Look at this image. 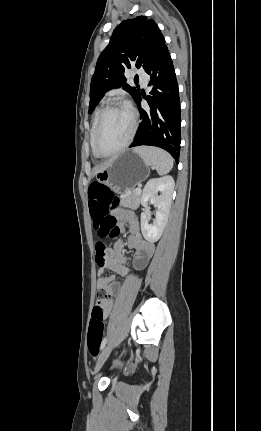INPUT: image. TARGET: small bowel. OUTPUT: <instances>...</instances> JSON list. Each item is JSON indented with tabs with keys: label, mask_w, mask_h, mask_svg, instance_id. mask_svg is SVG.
Segmentation results:
<instances>
[{
	"label": "small bowel",
	"mask_w": 261,
	"mask_h": 431,
	"mask_svg": "<svg viewBox=\"0 0 261 431\" xmlns=\"http://www.w3.org/2000/svg\"><path fill=\"white\" fill-rule=\"evenodd\" d=\"M117 218L121 223H127L129 226L130 234L127 237V246L134 250V268L137 270L144 269L150 258L154 253L153 243L145 240L140 231V224L138 217L129 210H122L118 212ZM123 243L120 240L115 241L113 245L114 256L109 259L105 264L98 265V280L97 288L105 291L110 296H117L121 291V283L116 281L113 276L106 277L104 272L106 269L113 271L119 276H127L129 269L126 266V258L123 254ZM114 301L103 304V319L106 320L111 313Z\"/></svg>",
	"instance_id": "c3829d8e"
}]
</instances>
